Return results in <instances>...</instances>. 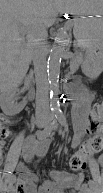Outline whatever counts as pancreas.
<instances>
[{"label":"pancreas","instance_id":"1","mask_svg":"<svg viewBox=\"0 0 103 193\" xmlns=\"http://www.w3.org/2000/svg\"><path fill=\"white\" fill-rule=\"evenodd\" d=\"M77 56H78L79 58H81V57H82V55H81L80 53H78V54H77Z\"/></svg>","mask_w":103,"mask_h":193}]
</instances>
